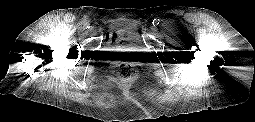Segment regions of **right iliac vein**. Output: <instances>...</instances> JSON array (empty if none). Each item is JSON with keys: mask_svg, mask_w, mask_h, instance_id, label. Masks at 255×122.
Returning a JSON list of instances; mask_svg holds the SVG:
<instances>
[{"mask_svg": "<svg viewBox=\"0 0 255 122\" xmlns=\"http://www.w3.org/2000/svg\"><path fill=\"white\" fill-rule=\"evenodd\" d=\"M89 31H90V32H93V31H94V27H93V26H90Z\"/></svg>", "mask_w": 255, "mask_h": 122, "instance_id": "1", "label": "right iliac vein"}]
</instances>
